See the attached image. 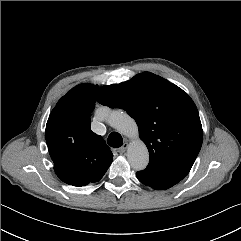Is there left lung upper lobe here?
<instances>
[{
	"mask_svg": "<svg viewBox=\"0 0 241 241\" xmlns=\"http://www.w3.org/2000/svg\"><path fill=\"white\" fill-rule=\"evenodd\" d=\"M97 101L124 109L134 118L149 151L146 169L178 180L189 173L201 149L203 131L196 105L186 92L144 72L102 87Z\"/></svg>",
	"mask_w": 241,
	"mask_h": 241,
	"instance_id": "obj_1",
	"label": "left lung upper lobe"
}]
</instances>
